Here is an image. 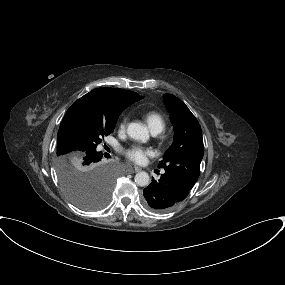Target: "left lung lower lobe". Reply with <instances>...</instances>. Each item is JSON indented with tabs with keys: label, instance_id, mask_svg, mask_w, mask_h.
Returning <instances> with one entry per match:
<instances>
[{
	"label": "left lung lower lobe",
	"instance_id": "left-lung-lower-lobe-1",
	"mask_svg": "<svg viewBox=\"0 0 285 285\" xmlns=\"http://www.w3.org/2000/svg\"><path fill=\"white\" fill-rule=\"evenodd\" d=\"M194 186L183 176L165 171L159 181L152 182L143 190L145 205L157 212L171 209L180 201L184 200Z\"/></svg>",
	"mask_w": 285,
	"mask_h": 285
}]
</instances>
